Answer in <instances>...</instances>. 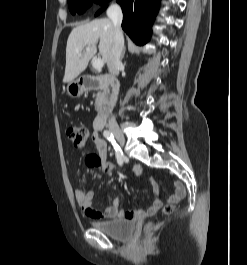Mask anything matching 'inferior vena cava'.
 Segmentation results:
<instances>
[{
	"mask_svg": "<svg viewBox=\"0 0 247 265\" xmlns=\"http://www.w3.org/2000/svg\"><path fill=\"white\" fill-rule=\"evenodd\" d=\"M107 16L114 27L113 43L109 51L107 66L112 75H118L119 68L122 66L120 57L124 48V37L121 29L123 18L121 7L118 4H112L107 10ZM109 124H116L114 116L109 119Z\"/></svg>",
	"mask_w": 247,
	"mask_h": 265,
	"instance_id": "1",
	"label": "inferior vena cava"
}]
</instances>
